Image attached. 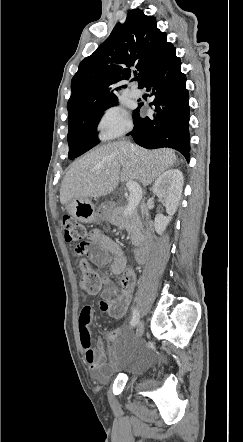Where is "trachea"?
Returning a JSON list of instances; mask_svg holds the SVG:
<instances>
[{
	"label": "trachea",
	"mask_w": 243,
	"mask_h": 442,
	"mask_svg": "<svg viewBox=\"0 0 243 442\" xmlns=\"http://www.w3.org/2000/svg\"><path fill=\"white\" fill-rule=\"evenodd\" d=\"M137 79H138V77H135V78H134V80H137Z\"/></svg>",
	"instance_id": "obj_1"
}]
</instances>
